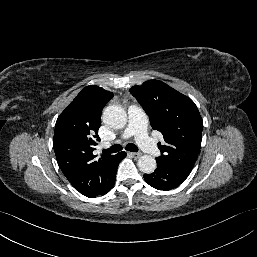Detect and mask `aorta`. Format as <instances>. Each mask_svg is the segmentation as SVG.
<instances>
[{
    "label": "aorta",
    "mask_w": 257,
    "mask_h": 257,
    "mask_svg": "<svg viewBox=\"0 0 257 257\" xmlns=\"http://www.w3.org/2000/svg\"><path fill=\"white\" fill-rule=\"evenodd\" d=\"M102 119L107 126L121 129L127 124V113L119 105H110L103 111ZM137 165L140 171L150 174L156 169V160L150 155H142L139 157Z\"/></svg>",
    "instance_id": "obj_1"
}]
</instances>
